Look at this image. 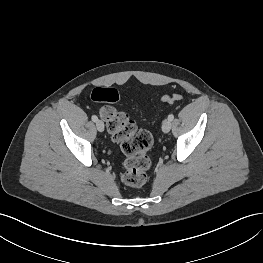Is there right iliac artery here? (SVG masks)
<instances>
[{"mask_svg": "<svg viewBox=\"0 0 263 263\" xmlns=\"http://www.w3.org/2000/svg\"><path fill=\"white\" fill-rule=\"evenodd\" d=\"M91 119H92V121L96 122V121L98 120V117H97L96 115H93V116L91 117Z\"/></svg>", "mask_w": 263, "mask_h": 263, "instance_id": "82829eb1", "label": "right iliac artery"}]
</instances>
